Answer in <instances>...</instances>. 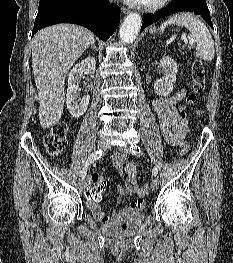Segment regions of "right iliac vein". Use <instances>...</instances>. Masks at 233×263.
Listing matches in <instances>:
<instances>
[{
    "mask_svg": "<svg viewBox=\"0 0 233 263\" xmlns=\"http://www.w3.org/2000/svg\"><path fill=\"white\" fill-rule=\"evenodd\" d=\"M108 147H109V143L106 140L102 139V140L98 141V144H97V148L98 149L105 150ZM78 185H79L80 190L83 191L85 189V187H86L85 180L83 178H80L79 181H78Z\"/></svg>",
    "mask_w": 233,
    "mask_h": 263,
    "instance_id": "obj_1",
    "label": "right iliac vein"
}]
</instances>
